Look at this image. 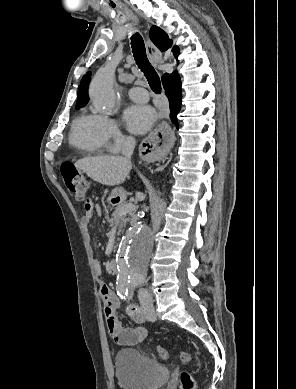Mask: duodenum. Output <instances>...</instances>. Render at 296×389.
<instances>
[{
	"label": "duodenum",
	"mask_w": 296,
	"mask_h": 389,
	"mask_svg": "<svg viewBox=\"0 0 296 389\" xmlns=\"http://www.w3.org/2000/svg\"><path fill=\"white\" fill-rule=\"evenodd\" d=\"M109 269L112 274H117L118 273V265L116 260H111L109 263Z\"/></svg>",
	"instance_id": "410a0bca"
}]
</instances>
